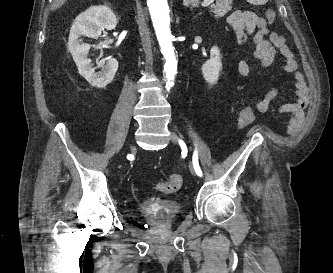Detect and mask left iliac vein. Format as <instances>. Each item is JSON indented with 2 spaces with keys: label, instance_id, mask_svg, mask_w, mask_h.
Returning <instances> with one entry per match:
<instances>
[{
  "label": "left iliac vein",
  "instance_id": "4c4485c4",
  "mask_svg": "<svg viewBox=\"0 0 333 273\" xmlns=\"http://www.w3.org/2000/svg\"><path fill=\"white\" fill-rule=\"evenodd\" d=\"M170 140L173 143H178L179 138H178V135L174 131L170 132ZM189 168H190V171L192 172V174H195L194 167L191 162H189Z\"/></svg>",
  "mask_w": 333,
  "mask_h": 273
}]
</instances>
